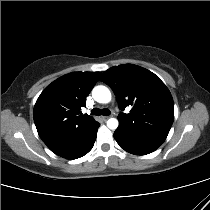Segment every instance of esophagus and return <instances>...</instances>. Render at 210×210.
<instances>
[{"instance_id":"34e87169","label":"esophagus","mask_w":210,"mask_h":210,"mask_svg":"<svg viewBox=\"0 0 210 210\" xmlns=\"http://www.w3.org/2000/svg\"><path fill=\"white\" fill-rule=\"evenodd\" d=\"M108 118H109V116H102V117H101V119H102L103 121H106Z\"/></svg>"}]
</instances>
